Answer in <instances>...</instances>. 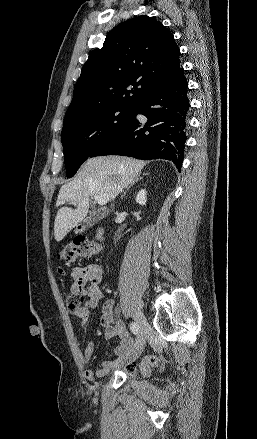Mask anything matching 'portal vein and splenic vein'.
<instances>
[{"mask_svg":"<svg viewBox=\"0 0 257 439\" xmlns=\"http://www.w3.org/2000/svg\"><path fill=\"white\" fill-rule=\"evenodd\" d=\"M94 199L99 205H105L109 201V196L106 193H102L95 195Z\"/></svg>","mask_w":257,"mask_h":439,"instance_id":"obj_1","label":"portal vein and splenic vein"}]
</instances>
